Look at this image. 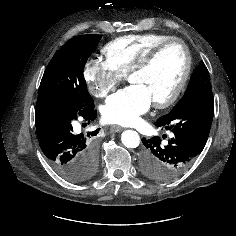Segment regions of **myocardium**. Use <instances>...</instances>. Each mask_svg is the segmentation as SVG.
Segmentation results:
<instances>
[{
  "mask_svg": "<svg viewBox=\"0 0 236 236\" xmlns=\"http://www.w3.org/2000/svg\"><path fill=\"white\" fill-rule=\"evenodd\" d=\"M175 43L179 44L183 49L185 57L184 70L173 91L166 98L153 102L154 107L158 109H164L171 106L179 98V96L181 95L183 89L187 84L192 67L191 55L187 44L182 39L177 37H171L167 40L158 43L153 48H151L148 51V53L133 66V68L130 70L128 74V77H130L134 74L143 72L144 70L148 69L154 63L158 55L167 46Z\"/></svg>",
  "mask_w": 236,
  "mask_h": 236,
  "instance_id": "myocardium-1",
  "label": "myocardium"
}]
</instances>
